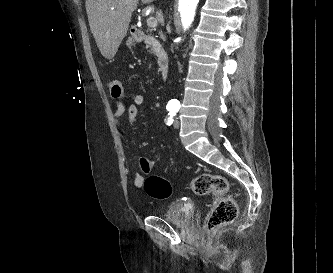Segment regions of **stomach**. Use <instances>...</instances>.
<instances>
[{
  "label": "stomach",
  "instance_id": "0dacf381",
  "mask_svg": "<svg viewBox=\"0 0 333 273\" xmlns=\"http://www.w3.org/2000/svg\"><path fill=\"white\" fill-rule=\"evenodd\" d=\"M133 44V38H129V40L127 41V45L131 46Z\"/></svg>",
  "mask_w": 333,
  "mask_h": 273
}]
</instances>
